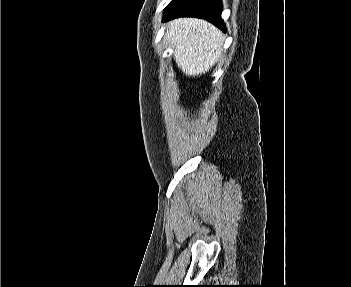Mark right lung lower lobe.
Returning <instances> with one entry per match:
<instances>
[{
  "label": "right lung lower lobe",
  "instance_id": "obj_1",
  "mask_svg": "<svg viewBox=\"0 0 351 287\" xmlns=\"http://www.w3.org/2000/svg\"><path fill=\"white\" fill-rule=\"evenodd\" d=\"M221 11V0H172L165 10L164 21L176 17L202 18L226 32Z\"/></svg>",
  "mask_w": 351,
  "mask_h": 287
}]
</instances>
